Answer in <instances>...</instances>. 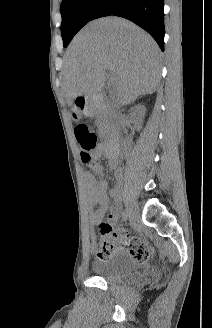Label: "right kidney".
Returning a JSON list of instances; mask_svg holds the SVG:
<instances>
[{
  "mask_svg": "<svg viewBox=\"0 0 212 328\" xmlns=\"http://www.w3.org/2000/svg\"><path fill=\"white\" fill-rule=\"evenodd\" d=\"M146 112V108L144 105H137L134 107L132 112L130 113L131 122L135 125V127L139 130L142 127L143 118Z\"/></svg>",
  "mask_w": 212,
  "mask_h": 328,
  "instance_id": "obj_1",
  "label": "right kidney"
}]
</instances>
